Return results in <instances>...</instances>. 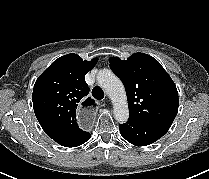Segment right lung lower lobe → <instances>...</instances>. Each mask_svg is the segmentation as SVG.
Wrapping results in <instances>:
<instances>
[{
    "instance_id": "1",
    "label": "right lung lower lobe",
    "mask_w": 209,
    "mask_h": 179,
    "mask_svg": "<svg viewBox=\"0 0 209 179\" xmlns=\"http://www.w3.org/2000/svg\"><path fill=\"white\" fill-rule=\"evenodd\" d=\"M90 133L83 131L79 136L71 140L70 142L66 143L65 147H77L79 145H82L90 138Z\"/></svg>"
}]
</instances>
